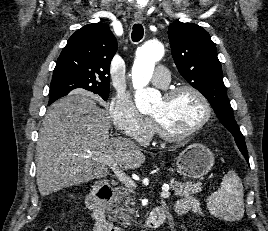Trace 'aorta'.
<instances>
[{
    "label": "aorta",
    "instance_id": "1",
    "mask_svg": "<svg viewBox=\"0 0 268 231\" xmlns=\"http://www.w3.org/2000/svg\"><path fill=\"white\" fill-rule=\"evenodd\" d=\"M164 55V46L160 42L150 41L138 48L132 67V83L135 88V103L139 111H148L151 102L160 97L156 89L147 88L151 80L155 63Z\"/></svg>",
    "mask_w": 268,
    "mask_h": 231
}]
</instances>
